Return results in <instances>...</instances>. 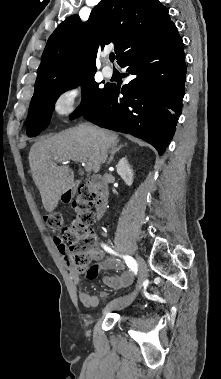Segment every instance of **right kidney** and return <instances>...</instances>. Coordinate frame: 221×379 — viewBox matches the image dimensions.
I'll use <instances>...</instances> for the list:
<instances>
[{
	"label": "right kidney",
	"mask_w": 221,
	"mask_h": 379,
	"mask_svg": "<svg viewBox=\"0 0 221 379\" xmlns=\"http://www.w3.org/2000/svg\"><path fill=\"white\" fill-rule=\"evenodd\" d=\"M116 169L117 173L121 176L124 182L128 186H131L133 183V170L131 169L126 157L120 159Z\"/></svg>",
	"instance_id": "right-kidney-1"
}]
</instances>
